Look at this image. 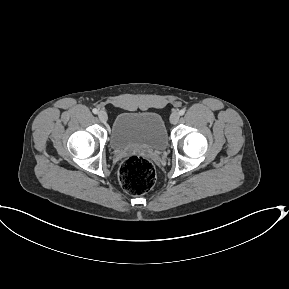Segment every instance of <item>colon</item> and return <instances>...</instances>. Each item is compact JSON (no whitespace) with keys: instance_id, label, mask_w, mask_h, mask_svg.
<instances>
[{"instance_id":"1","label":"colon","mask_w":289,"mask_h":289,"mask_svg":"<svg viewBox=\"0 0 289 289\" xmlns=\"http://www.w3.org/2000/svg\"><path fill=\"white\" fill-rule=\"evenodd\" d=\"M153 164L145 157L134 155L126 158L120 168L119 183L122 189L132 195L148 192L155 183Z\"/></svg>"}]
</instances>
